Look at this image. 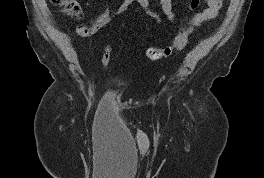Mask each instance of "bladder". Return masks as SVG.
Instances as JSON below:
<instances>
[{
	"instance_id": "bladder-1",
	"label": "bladder",
	"mask_w": 264,
	"mask_h": 178,
	"mask_svg": "<svg viewBox=\"0 0 264 178\" xmlns=\"http://www.w3.org/2000/svg\"><path fill=\"white\" fill-rule=\"evenodd\" d=\"M117 93V86L115 84H111L108 88V94L110 96H114Z\"/></svg>"
}]
</instances>
